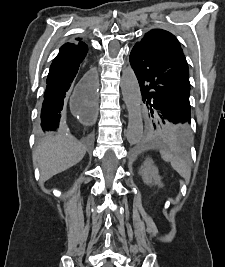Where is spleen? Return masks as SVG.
I'll return each mask as SVG.
<instances>
[{
  "mask_svg": "<svg viewBox=\"0 0 225 267\" xmlns=\"http://www.w3.org/2000/svg\"><path fill=\"white\" fill-rule=\"evenodd\" d=\"M161 157L165 162H170L172 168L185 180H189L191 177V169L182 158L174 156L172 153L166 150L160 151Z\"/></svg>",
  "mask_w": 225,
  "mask_h": 267,
  "instance_id": "1",
  "label": "spleen"
}]
</instances>
